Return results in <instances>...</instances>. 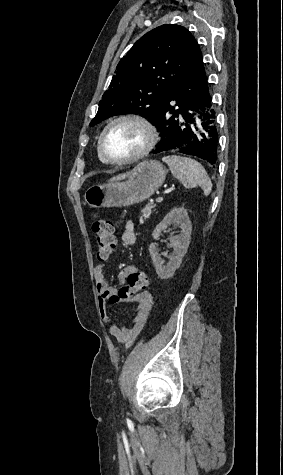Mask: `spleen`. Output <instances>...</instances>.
I'll use <instances>...</instances> for the list:
<instances>
[{
    "label": "spleen",
    "instance_id": "obj_1",
    "mask_svg": "<svg viewBox=\"0 0 283 475\" xmlns=\"http://www.w3.org/2000/svg\"><path fill=\"white\" fill-rule=\"evenodd\" d=\"M162 160L169 166L174 178L181 180L184 188L200 186L205 196H209L212 188L211 180L199 162L191 158H181V156H166Z\"/></svg>",
    "mask_w": 283,
    "mask_h": 475
}]
</instances>
